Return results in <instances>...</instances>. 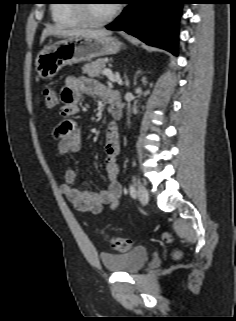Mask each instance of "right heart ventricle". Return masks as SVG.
Wrapping results in <instances>:
<instances>
[{"label":"right heart ventricle","instance_id":"right-heart-ventricle-1","mask_svg":"<svg viewBox=\"0 0 236 321\" xmlns=\"http://www.w3.org/2000/svg\"><path fill=\"white\" fill-rule=\"evenodd\" d=\"M51 7L53 22L61 27L83 25L84 21L75 8L77 0H58Z\"/></svg>","mask_w":236,"mask_h":321}]
</instances>
